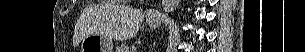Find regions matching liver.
Instances as JSON below:
<instances>
[{"mask_svg":"<svg viewBox=\"0 0 305 52\" xmlns=\"http://www.w3.org/2000/svg\"><path fill=\"white\" fill-rule=\"evenodd\" d=\"M110 22L102 30H94L87 26V23L76 28L77 36L73 41L78 46L82 39L91 34H99L117 41H125L133 38L144 20V14L138 9H133L120 3L110 5Z\"/></svg>","mask_w":305,"mask_h":52,"instance_id":"liver-1","label":"liver"}]
</instances>
